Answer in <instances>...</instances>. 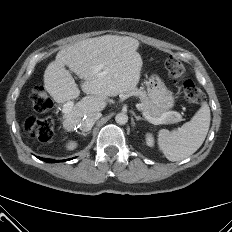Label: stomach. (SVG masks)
<instances>
[{
    "label": "stomach",
    "instance_id": "obj_1",
    "mask_svg": "<svg viewBox=\"0 0 232 232\" xmlns=\"http://www.w3.org/2000/svg\"><path fill=\"white\" fill-rule=\"evenodd\" d=\"M148 96L150 100L162 111H168L173 108L175 98L171 91L167 89L161 80L149 82L147 85Z\"/></svg>",
    "mask_w": 232,
    "mask_h": 232
}]
</instances>
